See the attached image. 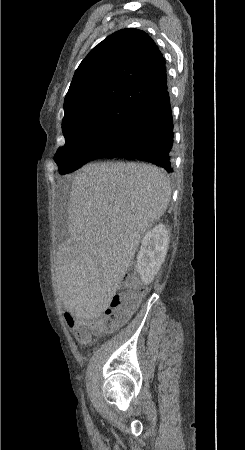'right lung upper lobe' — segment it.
I'll return each mask as SVG.
<instances>
[{"instance_id":"1","label":"right lung upper lobe","mask_w":245,"mask_h":450,"mask_svg":"<svg viewBox=\"0 0 245 450\" xmlns=\"http://www.w3.org/2000/svg\"><path fill=\"white\" fill-rule=\"evenodd\" d=\"M167 88L165 60L151 37L119 30L94 47L75 71L65 96V116L101 103L135 110Z\"/></svg>"}]
</instances>
